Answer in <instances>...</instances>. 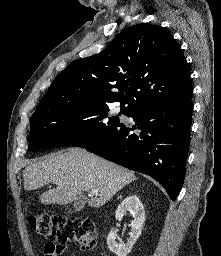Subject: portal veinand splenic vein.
I'll return each mask as SVG.
<instances>
[{"label": "portal vein and splenic vein", "mask_w": 221, "mask_h": 256, "mask_svg": "<svg viewBox=\"0 0 221 256\" xmlns=\"http://www.w3.org/2000/svg\"><path fill=\"white\" fill-rule=\"evenodd\" d=\"M90 193H91L92 195H98V191H97V190H91Z\"/></svg>", "instance_id": "18ae733b"}]
</instances>
